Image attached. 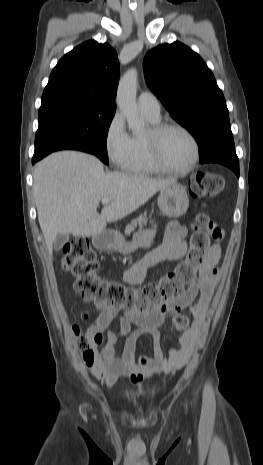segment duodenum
Masks as SVG:
<instances>
[{
	"label": "duodenum",
	"instance_id": "410a0bca",
	"mask_svg": "<svg viewBox=\"0 0 263 465\" xmlns=\"http://www.w3.org/2000/svg\"><path fill=\"white\" fill-rule=\"evenodd\" d=\"M109 244V239L104 235H98L94 240V245L98 249H105Z\"/></svg>",
	"mask_w": 263,
	"mask_h": 465
}]
</instances>
